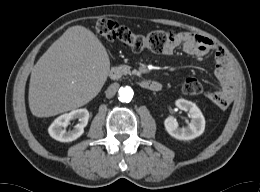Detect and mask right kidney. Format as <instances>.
<instances>
[{
	"instance_id": "ca27d5eb",
	"label": "right kidney",
	"mask_w": 260,
	"mask_h": 192,
	"mask_svg": "<svg viewBox=\"0 0 260 192\" xmlns=\"http://www.w3.org/2000/svg\"><path fill=\"white\" fill-rule=\"evenodd\" d=\"M78 119L79 123L72 131H66V127L70 121ZM89 120V112L87 109H76L69 113H65L57 117L49 126L48 132L52 138L60 142H72L84 133V127Z\"/></svg>"
}]
</instances>
